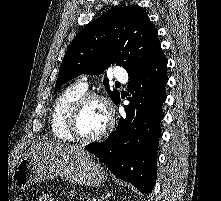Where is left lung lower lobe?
I'll return each mask as SVG.
<instances>
[{
	"mask_svg": "<svg viewBox=\"0 0 221 201\" xmlns=\"http://www.w3.org/2000/svg\"><path fill=\"white\" fill-rule=\"evenodd\" d=\"M166 67L167 59L162 54L142 73L131 77L130 104L124 106L126 119H120L116 130L105 141L85 147L116 177L146 194L154 188L157 177L158 139L168 82ZM119 102L120 97L115 104Z\"/></svg>",
	"mask_w": 221,
	"mask_h": 201,
	"instance_id": "left-lung-lower-lobe-1",
	"label": "left lung lower lobe"
}]
</instances>
